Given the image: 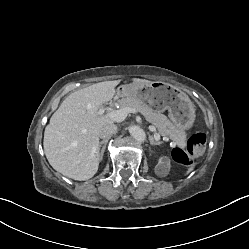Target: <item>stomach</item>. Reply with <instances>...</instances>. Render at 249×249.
<instances>
[{
  "instance_id": "obj_1",
  "label": "stomach",
  "mask_w": 249,
  "mask_h": 249,
  "mask_svg": "<svg viewBox=\"0 0 249 249\" xmlns=\"http://www.w3.org/2000/svg\"><path fill=\"white\" fill-rule=\"evenodd\" d=\"M116 91L122 96H132L156 112L168 110L172 122L183 130L194 123V104L186 93L175 86L163 82H133L117 87Z\"/></svg>"
}]
</instances>
